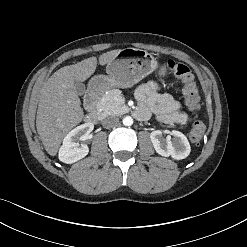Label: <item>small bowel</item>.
Masks as SVG:
<instances>
[{
  "label": "small bowel",
  "instance_id": "small-bowel-1",
  "mask_svg": "<svg viewBox=\"0 0 247 247\" xmlns=\"http://www.w3.org/2000/svg\"><path fill=\"white\" fill-rule=\"evenodd\" d=\"M135 96L140 103L136 115L141 119L153 113L165 123L186 124L189 121V116L180 111V103L171 95L162 93L159 84L155 81L139 85Z\"/></svg>",
  "mask_w": 247,
  "mask_h": 247
}]
</instances>
